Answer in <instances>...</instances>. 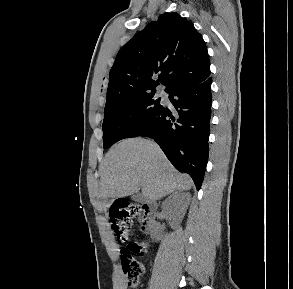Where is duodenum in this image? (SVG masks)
Returning a JSON list of instances; mask_svg holds the SVG:
<instances>
[{
    "label": "duodenum",
    "instance_id": "obj_1",
    "mask_svg": "<svg viewBox=\"0 0 293 289\" xmlns=\"http://www.w3.org/2000/svg\"><path fill=\"white\" fill-rule=\"evenodd\" d=\"M143 207V211H142V220H141V229L146 232L149 233L151 228H152V224L156 215V211H157V207L154 204H145L142 205Z\"/></svg>",
    "mask_w": 293,
    "mask_h": 289
}]
</instances>
